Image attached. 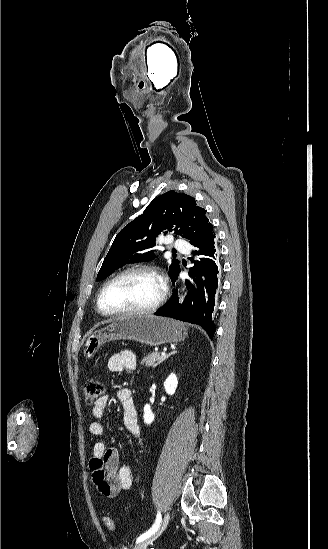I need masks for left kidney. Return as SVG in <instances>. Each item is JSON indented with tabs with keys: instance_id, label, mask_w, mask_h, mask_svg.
I'll return each instance as SVG.
<instances>
[{
	"instance_id": "left-kidney-1",
	"label": "left kidney",
	"mask_w": 328,
	"mask_h": 549,
	"mask_svg": "<svg viewBox=\"0 0 328 549\" xmlns=\"http://www.w3.org/2000/svg\"><path fill=\"white\" fill-rule=\"evenodd\" d=\"M178 385V379L175 375V373H171L169 377H167L166 381H164V389L167 393V395H174ZM144 423L146 425H151L155 419L154 413L151 411L150 405H145L144 407Z\"/></svg>"
}]
</instances>
